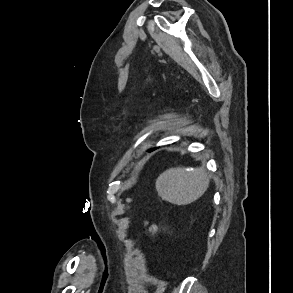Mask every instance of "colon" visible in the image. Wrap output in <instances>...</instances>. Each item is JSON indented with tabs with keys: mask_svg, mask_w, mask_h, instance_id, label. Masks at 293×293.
Masks as SVG:
<instances>
[{
	"mask_svg": "<svg viewBox=\"0 0 293 293\" xmlns=\"http://www.w3.org/2000/svg\"><path fill=\"white\" fill-rule=\"evenodd\" d=\"M146 225H147L149 233L154 234L155 233V226L152 224H149V223H146Z\"/></svg>",
	"mask_w": 293,
	"mask_h": 293,
	"instance_id": "colon-1",
	"label": "colon"
}]
</instances>
